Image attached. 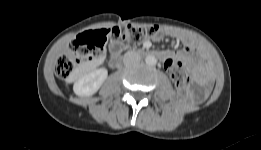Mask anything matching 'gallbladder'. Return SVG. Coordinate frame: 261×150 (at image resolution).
Returning a JSON list of instances; mask_svg holds the SVG:
<instances>
[{
    "label": "gallbladder",
    "instance_id": "bac80fb5",
    "mask_svg": "<svg viewBox=\"0 0 261 150\" xmlns=\"http://www.w3.org/2000/svg\"><path fill=\"white\" fill-rule=\"evenodd\" d=\"M122 47L120 42L114 41L110 47L113 52L118 51Z\"/></svg>",
    "mask_w": 261,
    "mask_h": 150
}]
</instances>
